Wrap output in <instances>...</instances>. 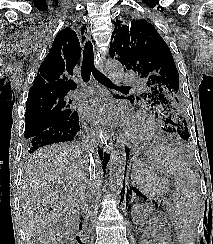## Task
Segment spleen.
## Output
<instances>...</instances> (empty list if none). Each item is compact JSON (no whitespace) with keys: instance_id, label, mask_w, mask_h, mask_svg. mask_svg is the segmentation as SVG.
I'll use <instances>...</instances> for the list:
<instances>
[{"instance_id":"spleen-1","label":"spleen","mask_w":213,"mask_h":244,"mask_svg":"<svg viewBox=\"0 0 213 244\" xmlns=\"http://www.w3.org/2000/svg\"><path fill=\"white\" fill-rule=\"evenodd\" d=\"M157 164L167 177L174 178L175 229L181 244H194L202 218L199 182L191 165L168 149L157 150Z\"/></svg>"}]
</instances>
